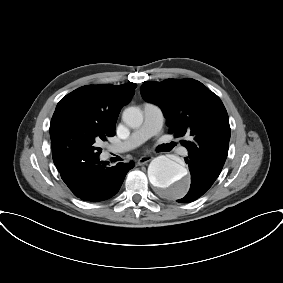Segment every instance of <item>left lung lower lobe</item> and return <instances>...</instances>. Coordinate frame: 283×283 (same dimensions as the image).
<instances>
[{"instance_id": "obj_1", "label": "left lung lower lobe", "mask_w": 283, "mask_h": 283, "mask_svg": "<svg viewBox=\"0 0 283 283\" xmlns=\"http://www.w3.org/2000/svg\"><path fill=\"white\" fill-rule=\"evenodd\" d=\"M191 173V186L187 195L179 202H192L202 196L219 176V170L204 167L198 160L192 157L185 158Z\"/></svg>"}]
</instances>
